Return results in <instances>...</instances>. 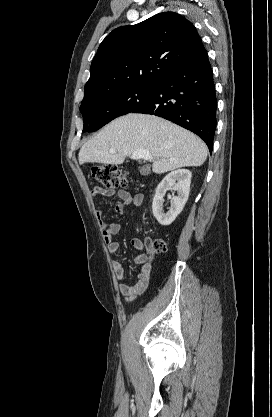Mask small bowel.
<instances>
[{
	"instance_id": "1",
	"label": "small bowel",
	"mask_w": 272,
	"mask_h": 417,
	"mask_svg": "<svg viewBox=\"0 0 272 417\" xmlns=\"http://www.w3.org/2000/svg\"><path fill=\"white\" fill-rule=\"evenodd\" d=\"M91 193L94 197L97 196H115L119 199L116 203L115 210L117 213H122L124 206L140 207L143 203L144 196L142 194H130L122 189L115 188H102L99 186L93 187ZM96 216L99 225L102 229L103 239L107 245L110 254L118 253L120 244L114 240V237L121 229L119 223L107 224L102 217V211L96 210ZM132 247L136 254L134 256V263L140 265L139 272L137 274V281L134 284H128L125 281L126 271L124 266L119 261L113 262V270L115 277L122 281L117 285V289L120 294L124 296L125 301L131 302L141 296L149 285V279L151 274V265L147 263L146 256L142 252L145 248H149L150 242L145 243L139 238H134L131 241Z\"/></svg>"
}]
</instances>
